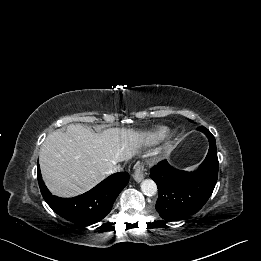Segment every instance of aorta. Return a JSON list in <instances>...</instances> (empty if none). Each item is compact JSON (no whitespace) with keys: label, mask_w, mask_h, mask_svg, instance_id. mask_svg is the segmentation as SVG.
Listing matches in <instances>:
<instances>
[{"label":"aorta","mask_w":261,"mask_h":261,"mask_svg":"<svg viewBox=\"0 0 261 261\" xmlns=\"http://www.w3.org/2000/svg\"><path fill=\"white\" fill-rule=\"evenodd\" d=\"M141 190L146 196H153L157 193V185L151 179H145L141 183Z\"/></svg>","instance_id":"obj_1"}]
</instances>
